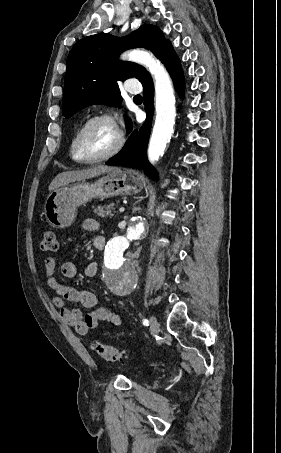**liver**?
Here are the masks:
<instances>
[{
	"label": "liver",
	"mask_w": 281,
	"mask_h": 453,
	"mask_svg": "<svg viewBox=\"0 0 281 453\" xmlns=\"http://www.w3.org/2000/svg\"><path fill=\"white\" fill-rule=\"evenodd\" d=\"M112 170H120L117 166H106V164H99L94 168H87V170H66V172H60L48 186V190H55L59 186L69 184V182H75V180H85V178H93V176H99L104 172H112Z\"/></svg>",
	"instance_id": "6515ba94"
}]
</instances>
